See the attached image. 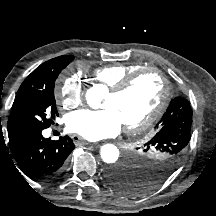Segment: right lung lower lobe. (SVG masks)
<instances>
[{
    "label": "right lung lower lobe",
    "instance_id": "1",
    "mask_svg": "<svg viewBox=\"0 0 216 216\" xmlns=\"http://www.w3.org/2000/svg\"><path fill=\"white\" fill-rule=\"evenodd\" d=\"M42 130H24L8 136L9 147L18 165L36 179L48 180L65 167L66 159L75 145L68 136L53 141Z\"/></svg>",
    "mask_w": 216,
    "mask_h": 216
}]
</instances>
